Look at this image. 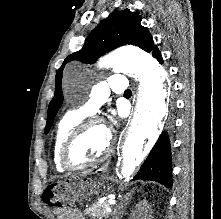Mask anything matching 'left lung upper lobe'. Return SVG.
<instances>
[{
    "mask_svg": "<svg viewBox=\"0 0 221 219\" xmlns=\"http://www.w3.org/2000/svg\"><path fill=\"white\" fill-rule=\"evenodd\" d=\"M142 17L129 9L112 12L89 34L81 50L69 55L58 69L55 79V95L48 107L45 133H48L63 102L61 79L63 68L70 61L93 64L105 53L126 44L152 52L154 41L146 27L141 25Z\"/></svg>",
    "mask_w": 221,
    "mask_h": 219,
    "instance_id": "5c2ea615",
    "label": "left lung upper lobe"
}]
</instances>
